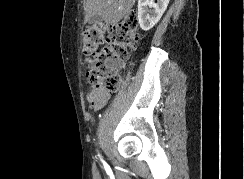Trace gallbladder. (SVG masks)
Instances as JSON below:
<instances>
[{
  "instance_id": "1",
  "label": "gallbladder",
  "mask_w": 244,
  "mask_h": 179,
  "mask_svg": "<svg viewBox=\"0 0 244 179\" xmlns=\"http://www.w3.org/2000/svg\"><path fill=\"white\" fill-rule=\"evenodd\" d=\"M100 20V16H94V18H90V20H88V24H97V22H100Z\"/></svg>"
}]
</instances>
